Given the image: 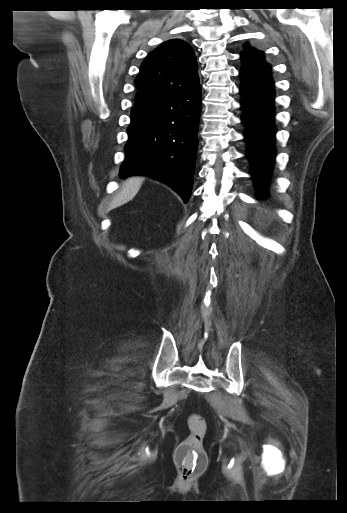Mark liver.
Returning a JSON list of instances; mask_svg holds the SVG:
<instances>
[{"mask_svg":"<svg viewBox=\"0 0 347 513\" xmlns=\"http://www.w3.org/2000/svg\"><path fill=\"white\" fill-rule=\"evenodd\" d=\"M144 178L139 176H133L128 178L121 187L120 192L111 203V208H116L131 201L143 183Z\"/></svg>","mask_w":347,"mask_h":513,"instance_id":"6515ba94","label":"liver"}]
</instances>
